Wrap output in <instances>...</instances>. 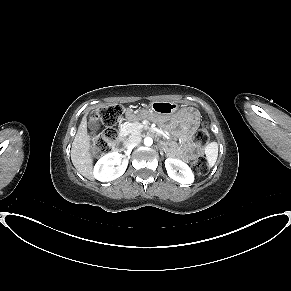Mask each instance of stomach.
Segmentation results:
<instances>
[{"mask_svg": "<svg viewBox=\"0 0 291 291\" xmlns=\"http://www.w3.org/2000/svg\"><path fill=\"white\" fill-rule=\"evenodd\" d=\"M151 109L161 116H171L172 112L176 108H180L177 103L170 102V101H153L150 104Z\"/></svg>", "mask_w": 291, "mask_h": 291, "instance_id": "obj_1", "label": "stomach"}]
</instances>
